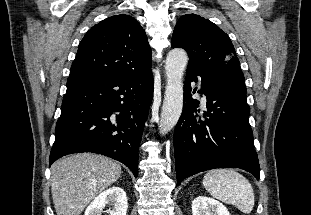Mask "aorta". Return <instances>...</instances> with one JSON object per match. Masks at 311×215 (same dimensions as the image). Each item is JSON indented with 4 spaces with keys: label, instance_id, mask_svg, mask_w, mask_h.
I'll return each mask as SVG.
<instances>
[{
    "label": "aorta",
    "instance_id": "obj_1",
    "mask_svg": "<svg viewBox=\"0 0 311 215\" xmlns=\"http://www.w3.org/2000/svg\"><path fill=\"white\" fill-rule=\"evenodd\" d=\"M188 62L187 53L172 49L166 58L167 84L160 119V134L165 135L177 124L183 109V74Z\"/></svg>",
    "mask_w": 311,
    "mask_h": 215
}]
</instances>
